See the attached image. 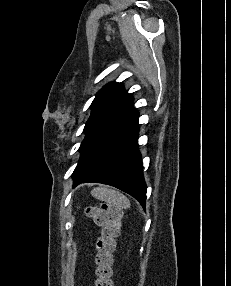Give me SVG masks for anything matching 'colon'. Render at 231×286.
<instances>
[{
	"label": "colon",
	"mask_w": 231,
	"mask_h": 286,
	"mask_svg": "<svg viewBox=\"0 0 231 286\" xmlns=\"http://www.w3.org/2000/svg\"><path fill=\"white\" fill-rule=\"evenodd\" d=\"M101 233L96 241V274L95 286H113L112 264L115 240L120 231L121 210L111 203H100L91 206L86 211Z\"/></svg>",
	"instance_id": "colon-1"
}]
</instances>
